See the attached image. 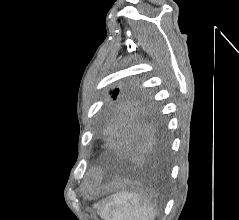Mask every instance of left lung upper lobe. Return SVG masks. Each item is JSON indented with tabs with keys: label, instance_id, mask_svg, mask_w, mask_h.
I'll list each match as a JSON object with an SVG mask.
<instances>
[{
	"label": "left lung upper lobe",
	"instance_id": "5c2ea615",
	"mask_svg": "<svg viewBox=\"0 0 239 220\" xmlns=\"http://www.w3.org/2000/svg\"><path fill=\"white\" fill-rule=\"evenodd\" d=\"M111 101L107 103L106 108L110 109L113 107L123 106L131 110H147L155 112V107L150 101L148 94L143 91H131L115 89L112 90Z\"/></svg>",
	"mask_w": 239,
	"mask_h": 220
}]
</instances>
